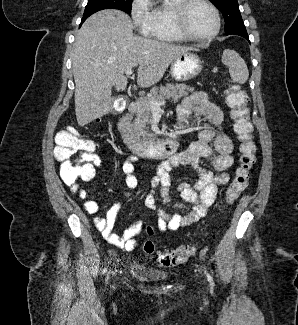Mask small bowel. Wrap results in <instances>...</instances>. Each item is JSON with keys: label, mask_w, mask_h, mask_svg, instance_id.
I'll list each match as a JSON object with an SVG mask.
<instances>
[{"label": "small bowel", "mask_w": 298, "mask_h": 325, "mask_svg": "<svg viewBox=\"0 0 298 325\" xmlns=\"http://www.w3.org/2000/svg\"><path fill=\"white\" fill-rule=\"evenodd\" d=\"M192 111L206 115L213 127L201 130L198 139L185 151L170 157L158 166L156 176L152 178L145 196V205L154 212L157 227L161 232L177 230L204 217L216 199L218 187L228 183L230 179L228 170L233 164L234 145L232 139L222 129V110L213 104L204 92H195L181 102L178 117L183 115L185 119ZM200 159L208 160L214 171L202 168ZM137 161L138 156L132 155L120 165L124 183L129 189H134L138 184L134 175ZM178 166H191L198 171L196 181L182 182L178 186L184 203H174L169 195L171 185L169 173ZM70 189L73 194L85 200L83 207L88 214L94 215L98 212V204L88 200L86 192L78 184L70 186ZM157 193L160 194L161 201L157 200ZM120 208L121 203L113 204L105 217H94V225L108 243L131 251L136 247L133 238L141 231L142 224L136 220L123 234L114 233L113 228Z\"/></svg>", "instance_id": "obj_1"}]
</instances>
